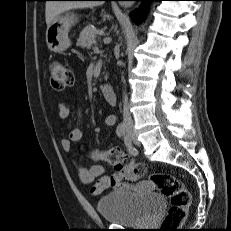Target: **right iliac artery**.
Masks as SVG:
<instances>
[{
  "label": "right iliac artery",
  "instance_id": "obj_1",
  "mask_svg": "<svg viewBox=\"0 0 231 231\" xmlns=\"http://www.w3.org/2000/svg\"><path fill=\"white\" fill-rule=\"evenodd\" d=\"M116 133H117L118 137H122V136L125 135V125H124V123H120L117 126Z\"/></svg>",
  "mask_w": 231,
  "mask_h": 231
}]
</instances>
